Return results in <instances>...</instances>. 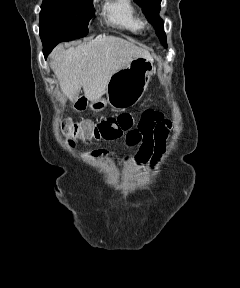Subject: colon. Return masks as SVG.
I'll return each mask as SVG.
<instances>
[{"instance_id": "1", "label": "colon", "mask_w": 240, "mask_h": 288, "mask_svg": "<svg viewBox=\"0 0 240 288\" xmlns=\"http://www.w3.org/2000/svg\"><path fill=\"white\" fill-rule=\"evenodd\" d=\"M140 117L133 113H122L98 122L82 121L74 123L64 120L60 129L67 139L69 146L73 147L77 141L90 142L92 140L112 141L132 132L139 123Z\"/></svg>"}]
</instances>
